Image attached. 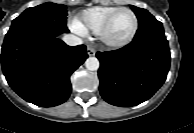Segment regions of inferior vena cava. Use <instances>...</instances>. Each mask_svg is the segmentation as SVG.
I'll return each mask as SVG.
<instances>
[{
	"label": "inferior vena cava",
	"instance_id": "inferior-vena-cava-1",
	"mask_svg": "<svg viewBox=\"0 0 194 133\" xmlns=\"http://www.w3.org/2000/svg\"><path fill=\"white\" fill-rule=\"evenodd\" d=\"M63 41L69 45V46H77L83 43L82 39L72 35V34H67L63 37Z\"/></svg>",
	"mask_w": 194,
	"mask_h": 133
}]
</instances>
